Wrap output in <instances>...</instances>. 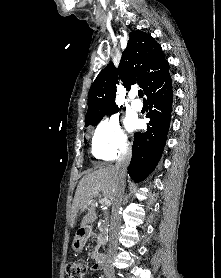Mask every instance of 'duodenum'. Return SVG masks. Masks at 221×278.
<instances>
[{
	"mask_svg": "<svg viewBox=\"0 0 221 278\" xmlns=\"http://www.w3.org/2000/svg\"><path fill=\"white\" fill-rule=\"evenodd\" d=\"M88 235V229L82 228L78 234V238L80 241H84ZM106 261V256L104 253L98 252L95 254V269L100 270L103 268Z\"/></svg>",
	"mask_w": 221,
	"mask_h": 278,
	"instance_id": "duodenum-1",
	"label": "duodenum"
}]
</instances>
